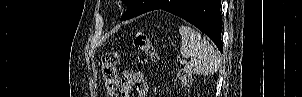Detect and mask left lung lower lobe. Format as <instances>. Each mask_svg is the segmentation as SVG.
<instances>
[{
    "mask_svg": "<svg viewBox=\"0 0 302 97\" xmlns=\"http://www.w3.org/2000/svg\"><path fill=\"white\" fill-rule=\"evenodd\" d=\"M220 7L221 0H153L147 9L136 13L133 17L151 10H166L199 28L223 52Z\"/></svg>",
    "mask_w": 302,
    "mask_h": 97,
    "instance_id": "left-lung-lower-lobe-1",
    "label": "left lung lower lobe"
}]
</instances>
